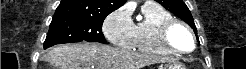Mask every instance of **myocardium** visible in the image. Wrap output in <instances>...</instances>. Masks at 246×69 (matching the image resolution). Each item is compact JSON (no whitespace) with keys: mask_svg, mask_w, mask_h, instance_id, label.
Wrapping results in <instances>:
<instances>
[{"mask_svg":"<svg viewBox=\"0 0 246 69\" xmlns=\"http://www.w3.org/2000/svg\"><path fill=\"white\" fill-rule=\"evenodd\" d=\"M177 26L183 28L189 34L191 43L192 45H194V35L191 28L186 23L174 18L170 20H166L165 22L162 23V25L160 26L157 32V40L162 46H164L174 54H188L190 53V51H182L178 49L169 40V34L171 30Z\"/></svg>","mask_w":246,"mask_h":69,"instance_id":"myocardium-1","label":"myocardium"}]
</instances>
